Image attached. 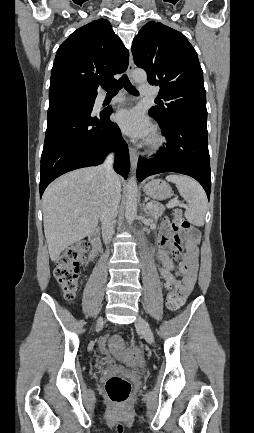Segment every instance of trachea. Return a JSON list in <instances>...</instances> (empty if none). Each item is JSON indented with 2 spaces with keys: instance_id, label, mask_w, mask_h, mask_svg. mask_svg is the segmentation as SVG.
<instances>
[{
  "instance_id": "obj_1",
  "label": "trachea",
  "mask_w": 254,
  "mask_h": 433,
  "mask_svg": "<svg viewBox=\"0 0 254 433\" xmlns=\"http://www.w3.org/2000/svg\"><path fill=\"white\" fill-rule=\"evenodd\" d=\"M103 89L107 91L108 95H116L118 91L124 87L129 93L138 96L139 92L137 89L130 83L127 75H123L116 84L113 85H103Z\"/></svg>"
}]
</instances>
